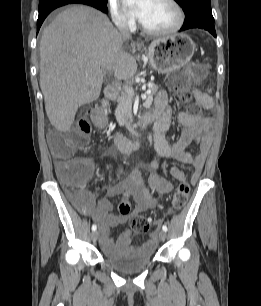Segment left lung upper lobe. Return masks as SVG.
<instances>
[{
	"mask_svg": "<svg viewBox=\"0 0 261 306\" xmlns=\"http://www.w3.org/2000/svg\"><path fill=\"white\" fill-rule=\"evenodd\" d=\"M183 9L186 16L206 14L212 16L210 0H175Z\"/></svg>",
	"mask_w": 261,
	"mask_h": 306,
	"instance_id": "5c2ea615",
	"label": "left lung upper lobe"
}]
</instances>
